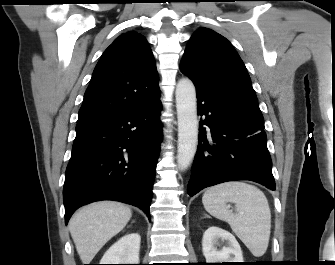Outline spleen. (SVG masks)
<instances>
[{
    "mask_svg": "<svg viewBox=\"0 0 335 265\" xmlns=\"http://www.w3.org/2000/svg\"><path fill=\"white\" fill-rule=\"evenodd\" d=\"M228 202L235 204L236 213L226 208ZM202 203L212 216L230 225L255 257L265 254L271 232V211L259 188L245 182H226L207 189Z\"/></svg>",
    "mask_w": 335,
    "mask_h": 265,
    "instance_id": "3e777b00",
    "label": "spleen"
}]
</instances>
